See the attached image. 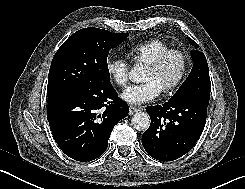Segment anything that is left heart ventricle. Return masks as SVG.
Masks as SVG:
<instances>
[{"label":"left heart ventricle","instance_id":"left-heart-ventricle-1","mask_svg":"<svg viewBox=\"0 0 245 189\" xmlns=\"http://www.w3.org/2000/svg\"><path fill=\"white\" fill-rule=\"evenodd\" d=\"M181 68L182 64L180 59L171 57L164 66L157 71H153L146 66L143 72L142 81H153L162 90L178 77Z\"/></svg>","mask_w":245,"mask_h":189}]
</instances>
